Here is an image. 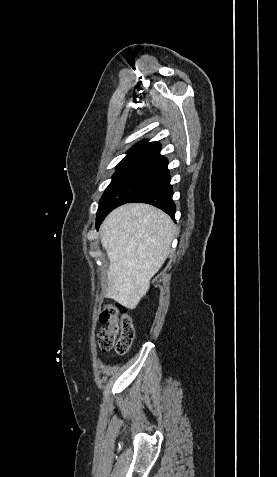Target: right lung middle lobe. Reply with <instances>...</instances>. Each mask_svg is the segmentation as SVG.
<instances>
[{
	"label": "right lung middle lobe",
	"mask_w": 277,
	"mask_h": 477,
	"mask_svg": "<svg viewBox=\"0 0 277 477\" xmlns=\"http://www.w3.org/2000/svg\"><path fill=\"white\" fill-rule=\"evenodd\" d=\"M160 171L159 168L137 166L117 169L99 201L96 217L97 229L108 213L133 199L157 177Z\"/></svg>",
	"instance_id": "right-lung-middle-lobe-1"
}]
</instances>
